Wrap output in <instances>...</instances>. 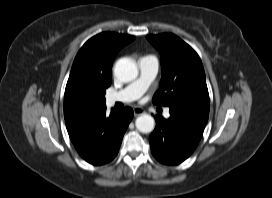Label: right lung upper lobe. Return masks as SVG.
<instances>
[{"label":"right lung upper lobe","instance_id":"1","mask_svg":"<svg viewBox=\"0 0 272 198\" xmlns=\"http://www.w3.org/2000/svg\"><path fill=\"white\" fill-rule=\"evenodd\" d=\"M134 36L103 32L89 39L72 65L64 95V117L70 128L105 106L111 85V66L118 51Z\"/></svg>","mask_w":272,"mask_h":198}]
</instances>
